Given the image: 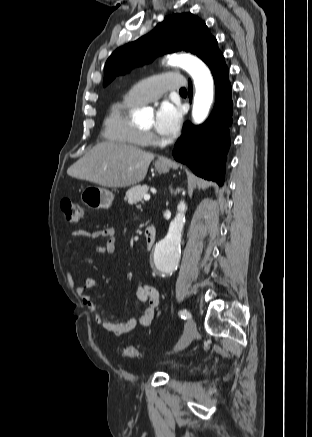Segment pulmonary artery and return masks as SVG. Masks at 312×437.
<instances>
[{
  "label": "pulmonary artery",
  "mask_w": 312,
  "mask_h": 437,
  "mask_svg": "<svg viewBox=\"0 0 312 437\" xmlns=\"http://www.w3.org/2000/svg\"><path fill=\"white\" fill-rule=\"evenodd\" d=\"M186 80L181 74L163 73L142 80L135 84L126 94V98L140 105L151 102L167 90L181 89Z\"/></svg>",
  "instance_id": "1"
}]
</instances>
